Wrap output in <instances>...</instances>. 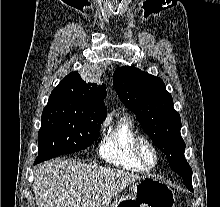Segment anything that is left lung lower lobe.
I'll use <instances>...</instances> for the list:
<instances>
[{
  "label": "left lung lower lobe",
  "mask_w": 220,
  "mask_h": 207,
  "mask_svg": "<svg viewBox=\"0 0 220 207\" xmlns=\"http://www.w3.org/2000/svg\"><path fill=\"white\" fill-rule=\"evenodd\" d=\"M170 167L177 172L184 181L185 186L188 190L191 192H194V189L192 187V170L188 163L184 164H169Z\"/></svg>",
  "instance_id": "left-lung-lower-lobe-1"
}]
</instances>
